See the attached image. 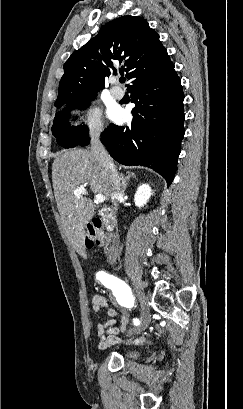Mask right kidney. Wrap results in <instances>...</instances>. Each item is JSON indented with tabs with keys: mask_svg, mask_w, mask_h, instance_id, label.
Here are the masks:
<instances>
[{
	"mask_svg": "<svg viewBox=\"0 0 243 409\" xmlns=\"http://www.w3.org/2000/svg\"><path fill=\"white\" fill-rule=\"evenodd\" d=\"M152 195L151 188L148 184H142L138 187L135 195L134 202L137 207H143L148 202L150 196Z\"/></svg>",
	"mask_w": 243,
	"mask_h": 409,
	"instance_id": "1",
	"label": "right kidney"
}]
</instances>
